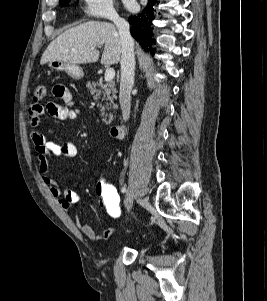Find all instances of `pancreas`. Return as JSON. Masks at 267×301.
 Returning a JSON list of instances; mask_svg holds the SVG:
<instances>
[{"label":"pancreas","instance_id":"cf45deb5","mask_svg":"<svg viewBox=\"0 0 267 301\" xmlns=\"http://www.w3.org/2000/svg\"><path fill=\"white\" fill-rule=\"evenodd\" d=\"M88 90L93 95V98L97 101L102 97V101L105 100L106 104L101 105V116L102 121L106 124H110L113 116L112 114H109V120H107V113L106 110H111V108H117V104L114 103V100L117 98L116 93V87L115 83L113 81L103 83L102 80L97 82H92L87 84Z\"/></svg>","mask_w":267,"mask_h":301}]
</instances>
